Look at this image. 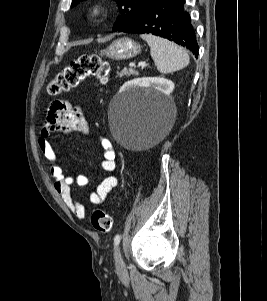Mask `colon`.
<instances>
[{
  "label": "colon",
  "instance_id": "obj_1",
  "mask_svg": "<svg viewBox=\"0 0 267 301\" xmlns=\"http://www.w3.org/2000/svg\"><path fill=\"white\" fill-rule=\"evenodd\" d=\"M110 75V65L97 55H81L66 66L47 85V94L56 96L78 86L88 77L97 78L101 84H105ZM93 227L107 233L112 228V217L103 209L94 210L91 215Z\"/></svg>",
  "mask_w": 267,
  "mask_h": 301
}]
</instances>
